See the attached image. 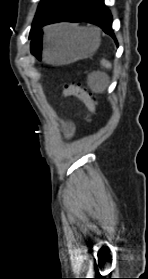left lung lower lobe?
Listing matches in <instances>:
<instances>
[{
	"mask_svg": "<svg viewBox=\"0 0 148 279\" xmlns=\"http://www.w3.org/2000/svg\"><path fill=\"white\" fill-rule=\"evenodd\" d=\"M62 21H85L96 24L116 40L111 27L112 15L104 5V0H65L45 20L38 24L35 32L47 24ZM40 32L41 30L38 33Z\"/></svg>",
	"mask_w": 148,
	"mask_h": 279,
	"instance_id": "left-lung-lower-lobe-1",
	"label": "left lung lower lobe"
}]
</instances>
